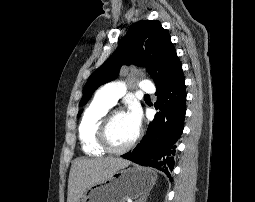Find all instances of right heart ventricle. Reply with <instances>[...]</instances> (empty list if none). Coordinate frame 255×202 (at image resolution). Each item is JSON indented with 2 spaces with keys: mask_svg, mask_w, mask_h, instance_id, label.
Wrapping results in <instances>:
<instances>
[{
  "mask_svg": "<svg viewBox=\"0 0 255 202\" xmlns=\"http://www.w3.org/2000/svg\"><path fill=\"white\" fill-rule=\"evenodd\" d=\"M111 105L95 96L85 109L80 125L79 138L83 151L91 156H100L105 150L97 142V130L102 117Z\"/></svg>",
  "mask_w": 255,
  "mask_h": 202,
  "instance_id": "right-heart-ventricle-1",
  "label": "right heart ventricle"
}]
</instances>
